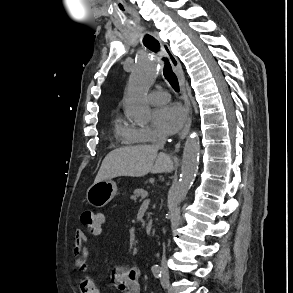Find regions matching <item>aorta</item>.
Masks as SVG:
<instances>
[{"label": "aorta", "instance_id": "obj_1", "mask_svg": "<svg viewBox=\"0 0 293 293\" xmlns=\"http://www.w3.org/2000/svg\"><path fill=\"white\" fill-rule=\"evenodd\" d=\"M159 72V62L151 56H145L138 58L129 77L124 106L128 117L137 124L145 125L151 121V110L145 97ZM199 157V139L197 133L193 132L184 145L181 173L171 193L170 207L185 199L198 172Z\"/></svg>", "mask_w": 293, "mask_h": 293}]
</instances>
